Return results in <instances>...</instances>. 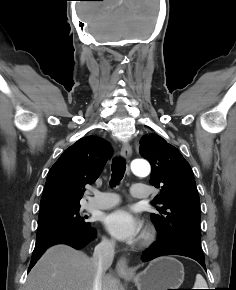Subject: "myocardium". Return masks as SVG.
Instances as JSON below:
<instances>
[{"mask_svg": "<svg viewBox=\"0 0 236 290\" xmlns=\"http://www.w3.org/2000/svg\"><path fill=\"white\" fill-rule=\"evenodd\" d=\"M151 239V234L150 233H146L144 236V241H149Z\"/></svg>", "mask_w": 236, "mask_h": 290, "instance_id": "myocardium-1", "label": "myocardium"}]
</instances>
